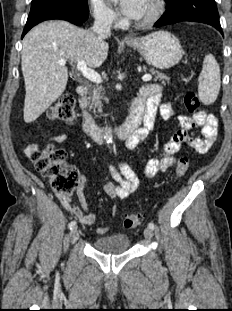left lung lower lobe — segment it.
Listing matches in <instances>:
<instances>
[{
  "instance_id": "left-lung-lower-lobe-1",
  "label": "left lung lower lobe",
  "mask_w": 232,
  "mask_h": 311,
  "mask_svg": "<svg viewBox=\"0 0 232 311\" xmlns=\"http://www.w3.org/2000/svg\"><path fill=\"white\" fill-rule=\"evenodd\" d=\"M167 9L155 23L161 27L181 21L201 22L222 32L214 0H168Z\"/></svg>"
}]
</instances>
